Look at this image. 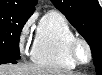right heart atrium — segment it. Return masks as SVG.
<instances>
[{"label":"right heart atrium","instance_id":"1","mask_svg":"<svg viewBox=\"0 0 102 75\" xmlns=\"http://www.w3.org/2000/svg\"><path fill=\"white\" fill-rule=\"evenodd\" d=\"M32 25H33V18H29L22 26L20 33H19V47L21 51H25L27 44L31 37V31H32Z\"/></svg>","mask_w":102,"mask_h":75}]
</instances>
